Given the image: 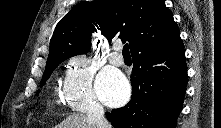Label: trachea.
Masks as SVG:
<instances>
[{
  "label": "trachea",
  "mask_w": 221,
  "mask_h": 128,
  "mask_svg": "<svg viewBox=\"0 0 221 128\" xmlns=\"http://www.w3.org/2000/svg\"><path fill=\"white\" fill-rule=\"evenodd\" d=\"M125 45L122 50L123 57H130L129 46L127 43L123 42Z\"/></svg>",
  "instance_id": "trachea-1"
}]
</instances>
